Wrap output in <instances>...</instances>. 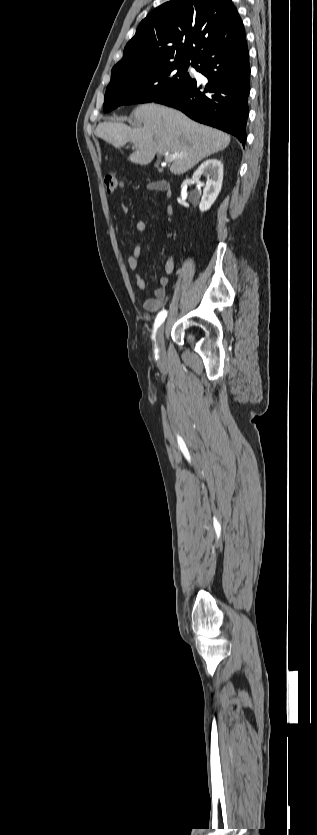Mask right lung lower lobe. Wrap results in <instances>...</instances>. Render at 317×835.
Returning a JSON list of instances; mask_svg holds the SVG:
<instances>
[{"label": "right lung lower lobe", "instance_id": "obj_1", "mask_svg": "<svg viewBox=\"0 0 317 835\" xmlns=\"http://www.w3.org/2000/svg\"><path fill=\"white\" fill-rule=\"evenodd\" d=\"M196 70L208 79L206 87L195 79L154 102L181 110L193 120L221 129L246 141L250 65L246 39L204 54Z\"/></svg>", "mask_w": 317, "mask_h": 835}]
</instances>
